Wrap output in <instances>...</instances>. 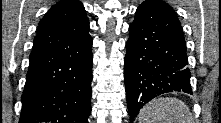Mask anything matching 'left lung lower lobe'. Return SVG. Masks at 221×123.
I'll use <instances>...</instances> for the list:
<instances>
[{
    "label": "left lung lower lobe",
    "instance_id": "left-lung-lower-lobe-1",
    "mask_svg": "<svg viewBox=\"0 0 221 123\" xmlns=\"http://www.w3.org/2000/svg\"><path fill=\"white\" fill-rule=\"evenodd\" d=\"M126 43L124 80L131 123L158 95L192 93L186 42L177 16L146 0L136 10Z\"/></svg>",
    "mask_w": 221,
    "mask_h": 123
}]
</instances>
